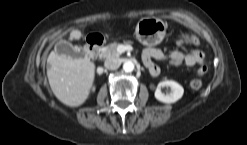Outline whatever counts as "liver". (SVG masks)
<instances>
[{
	"label": "liver",
	"mask_w": 247,
	"mask_h": 145,
	"mask_svg": "<svg viewBox=\"0 0 247 145\" xmlns=\"http://www.w3.org/2000/svg\"><path fill=\"white\" fill-rule=\"evenodd\" d=\"M80 37L78 30L70 33V39ZM47 77L59 101L70 107H78L89 96L95 77V64L88 58L73 59L52 51L47 58Z\"/></svg>",
	"instance_id": "6515ba94"
}]
</instances>
